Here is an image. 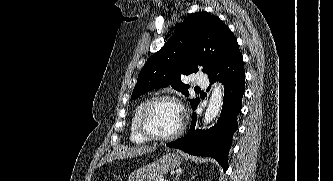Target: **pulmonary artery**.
<instances>
[{"instance_id": "e3ab8cb5", "label": "pulmonary artery", "mask_w": 333, "mask_h": 181, "mask_svg": "<svg viewBox=\"0 0 333 181\" xmlns=\"http://www.w3.org/2000/svg\"><path fill=\"white\" fill-rule=\"evenodd\" d=\"M209 83L208 77L205 74L199 73L195 77V84L198 86H207Z\"/></svg>"}]
</instances>
